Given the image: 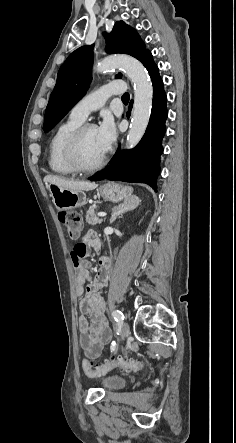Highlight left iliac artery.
<instances>
[{"instance_id":"1","label":"left iliac artery","mask_w":236,"mask_h":443,"mask_svg":"<svg viewBox=\"0 0 236 443\" xmlns=\"http://www.w3.org/2000/svg\"><path fill=\"white\" fill-rule=\"evenodd\" d=\"M112 316L116 322H122L124 320V314L120 310H114L112 312ZM116 348V342L113 341L111 343V351H114Z\"/></svg>"}]
</instances>
